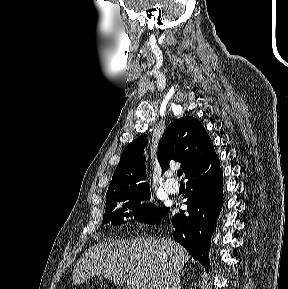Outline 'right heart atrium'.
<instances>
[{
	"mask_svg": "<svg viewBox=\"0 0 288 289\" xmlns=\"http://www.w3.org/2000/svg\"><path fill=\"white\" fill-rule=\"evenodd\" d=\"M139 213H140L139 208H135L134 210H132V215H133L135 218H138V217H139Z\"/></svg>",
	"mask_w": 288,
	"mask_h": 289,
	"instance_id": "obj_1",
	"label": "right heart atrium"
}]
</instances>
